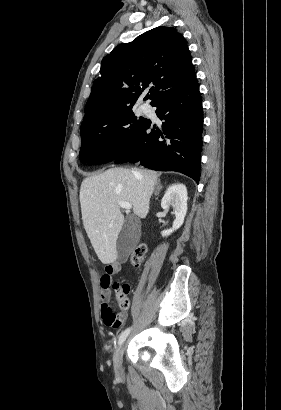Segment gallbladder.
I'll list each match as a JSON object with an SVG mask.
<instances>
[{"label":"gallbladder","mask_w":281,"mask_h":410,"mask_svg":"<svg viewBox=\"0 0 281 410\" xmlns=\"http://www.w3.org/2000/svg\"><path fill=\"white\" fill-rule=\"evenodd\" d=\"M139 240V232L135 223V218L129 216L125 219L123 227L119 233L116 249L117 259L124 263Z\"/></svg>","instance_id":"bac80fb5"}]
</instances>
